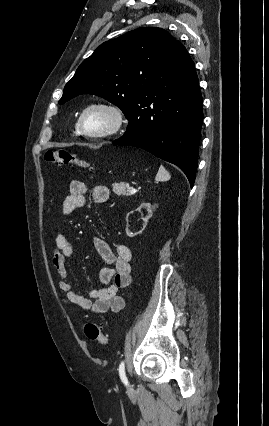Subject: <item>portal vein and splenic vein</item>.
I'll return each instance as SVG.
<instances>
[{
	"label": "portal vein and splenic vein",
	"mask_w": 269,
	"mask_h": 426,
	"mask_svg": "<svg viewBox=\"0 0 269 426\" xmlns=\"http://www.w3.org/2000/svg\"><path fill=\"white\" fill-rule=\"evenodd\" d=\"M136 192H137V190H136L135 188H131V189H130V193H131V194H134V193H136Z\"/></svg>",
	"instance_id": "obj_1"
}]
</instances>
